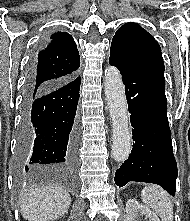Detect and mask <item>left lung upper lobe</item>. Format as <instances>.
Here are the masks:
<instances>
[{
  "label": "left lung upper lobe",
  "instance_id": "obj_1",
  "mask_svg": "<svg viewBox=\"0 0 190 221\" xmlns=\"http://www.w3.org/2000/svg\"><path fill=\"white\" fill-rule=\"evenodd\" d=\"M110 60L126 70L164 78L159 44L136 23H126L117 30L111 44Z\"/></svg>",
  "mask_w": 190,
  "mask_h": 221
}]
</instances>
